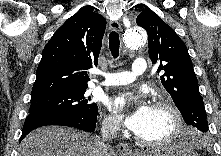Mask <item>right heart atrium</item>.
<instances>
[{"instance_id": "obj_1", "label": "right heart atrium", "mask_w": 221, "mask_h": 156, "mask_svg": "<svg viewBox=\"0 0 221 156\" xmlns=\"http://www.w3.org/2000/svg\"><path fill=\"white\" fill-rule=\"evenodd\" d=\"M102 127L103 130L109 134L115 133L118 130V124L116 120L111 116L104 117Z\"/></svg>"}]
</instances>
